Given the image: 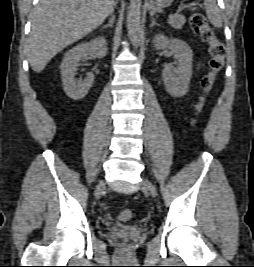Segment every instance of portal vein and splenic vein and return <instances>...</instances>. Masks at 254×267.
<instances>
[{"mask_svg":"<svg viewBox=\"0 0 254 267\" xmlns=\"http://www.w3.org/2000/svg\"><path fill=\"white\" fill-rule=\"evenodd\" d=\"M175 16V14H169V19H172Z\"/></svg>","mask_w":254,"mask_h":267,"instance_id":"obj_1","label":"portal vein and splenic vein"}]
</instances>
